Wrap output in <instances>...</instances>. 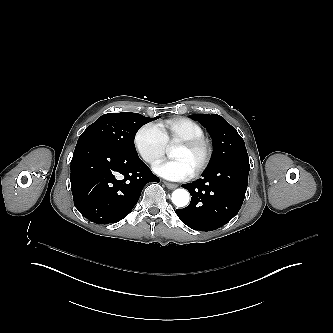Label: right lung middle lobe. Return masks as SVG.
Returning <instances> with one entry per match:
<instances>
[{
	"instance_id": "1",
	"label": "right lung middle lobe",
	"mask_w": 333,
	"mask_h": 333,
	"mask_svg": "<svg viewBox=\"0 0 333 333\" xmlns=\"http://www.w3.org/2000/svg\"><path fill=\"white\" fill-rule=\"evenodd\" d=\"M138 113H108L102 115L81 134L78 142L94 140L101 142L112 150L127 156L137 157L134 138L141 126L153 121Z\"/></svg>"
}]
</instances>
